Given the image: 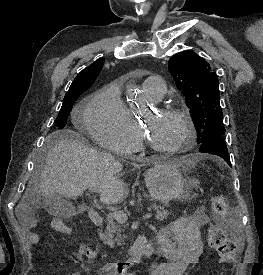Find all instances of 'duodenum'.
<instances>
[{"label": "duodenum", "instance_id": "obj_1", "mask_svg": "<svg viewBox=\"0 0 263 275\" xmlns=\"http://www.w3.org/2000/svg\"><path fill=\"white\" fill-rule=\"evenodd\" d=\"M89 216L95 225H101L103 223V217L94 209L89 210ZM150 255H152L151 246L146 237L144 235H140L129 248L127 254L118 259L113 266L117 270L123 272L130 266L140 263L144 258L149 257Z\"/></svg>", "mask_w": 263, "mask_h": 275}]
</instances>
